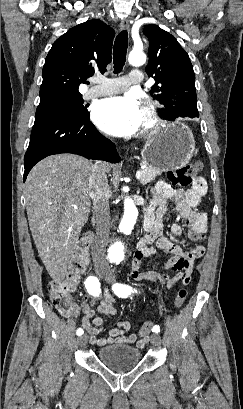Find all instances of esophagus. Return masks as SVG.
I'll return each mask as SVG.
<instances>
[{
    "label": "esophagus",
    "instance_id": "obj_1",
    "mask_svg": "<svg viewBox=\"0 0 243 409\" xmlns=\"http://www.w3.org/2000/svg\"><path fill=\"white\" fill-rule=\"evenodd\" d=\"M129 26H130V24H129V20L128 19H124V20H122V22L120 23V28H121V30H129Z\"/></svg>",
    "mask_w": 243,
    "mask_h": 409
}]
</instances>
